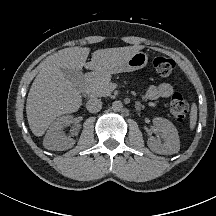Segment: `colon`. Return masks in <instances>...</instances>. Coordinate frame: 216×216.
<instances>
[{
	"mask_svg": "<svg viewBox=\"0 0 216 216\" xmlns=\"http://www.w3.org/2000/svg\"><path fill=\"white\" fill-rule=\"evenodd\" d=\"M153 66L160 77H168L172 73L175 63L170 58L158 56L153 60ZM188 110V104L182 94L174 93L170 101V113L173 118L179 123L185 122Z\"/></svg>",
	"mask_w": 216,
	"mask_h": 216,
	"instance_id": "obj_1",
	"label": "colon"
}]
</instances>
